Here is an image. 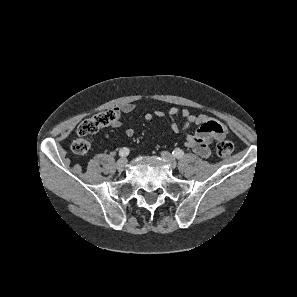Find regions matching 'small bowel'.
Listing matches in <instances>:
<instances>
[{
  "label": "small bowel",
  "mask_w": 297,
  "mask_h": 297,
  "mask_svg": "<svg viewBox=\"0 0 297 297\" xmlns=\"http://www.w3.org/2000/svg\"><path fill=\"white\" fill-rule=\"evenodd\" d=\"M136 109L137 106L132 103L124 104L116 108L115 110L118 114V118L112 123V126L114 128H119L121 126L119 116L132 113ZM167 114L170 119V127L175 133H178L182 129L186 130L191 124L197 125V130L194 134H185V145L201 157H208L211 152L210 144L225 135L223 125L205 114H192L188 109L179 111L176 107L170 108ZM178 115H181L184 119L182 126L176 120ZM162 117H164V113L159 109H155L152 112L145 114V119L148 121ZM134 133L135 130L133 128H127L125 130V134L129 138L133 137Z\"/></svg>",
  "instance_id": "obj_1"
}]
</instances>
